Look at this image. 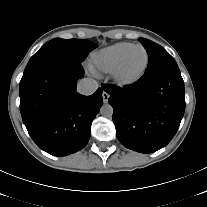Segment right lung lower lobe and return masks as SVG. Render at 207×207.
<instances>
[{"label":"right lung lower lobe","instance_id":"1","mask_svg":"<svg viewBox=\"0 0 207 207\" xmlns=\"http://www.w3.org/2000/svg\"><path fill=\"white\" fill-rule=\"evenodd\" d=\"M80 63L52 59L25 70L20 81V111L37 146L54 156L81 150L103 104L102 88L84 96L76 92L83 77Z\"/></svg>","mask_w":207,"mask_h":207}]
</instances>
